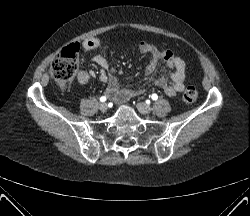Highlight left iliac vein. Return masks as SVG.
I'll use <instances>...</instances> for the list:
<instances>
[{
	"instance_id": "obj_1",
	"label": "left iliac vein",
	"mask_w": 250,
	"mask_h": 216,
	"mask_svg": "<svg viewBox=\"0 0 250 216\" xmlns=\"http://www.w3.org/2000/svg\"><path fill=\"white\" fill-rule=\"evenodd\" d=\"M137 109L139 110L140 113L142 114H148L151 112L152 108L146 104V103H143V102H139L137 103Z\"/></svg>"
}]
</instances>
